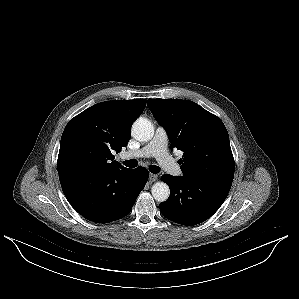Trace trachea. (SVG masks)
Returning <instances> with one entry per match:
<instances>
[{
  "label": "trachea",
  "mask_w": 299,
  "mask_h": 299,
  "mask_svg": "<svg viewBox=\"0 0 299 299\" xmlns=\"http://www.w3.org/2000/svg\"><path fill=\"white\" fill-rule=\"evenodd\" d=\"M123 164L126 167L135 168L138 165V162L135 159H131V160L124 161ZM149 171L151 173L156 174V173L160 172V168L156 165H152V166H149Z\"/></svg>",
  "instance_id": "trachea-1"
}]
</instances>
